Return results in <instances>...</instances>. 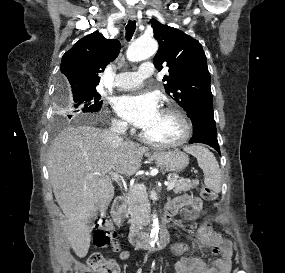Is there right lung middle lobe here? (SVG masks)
I'll use <instances>...</instances> for the list:
<instances>
[{"mask_svg": "<svg viewBox=\"0 0 285 273\" xmlns=\"http://www.w3.org/2000/svg\"><path fill=\"white\" fill-rule=\"evenodd\" d=\"M101 96L96 89H81L70 91L64 81L60 79L57 92L59 114L56 120L75 119L83 113H92L100 110Z\"/></svg>", "mask_w": 285, "mask_h": 273, "instance_id": "dd1d6c3e", "label": "right lung middle lobe"}]
</instances>
